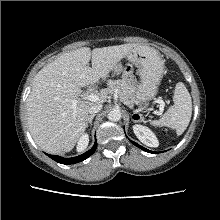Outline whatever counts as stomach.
<instances>
[{"instance_id": "obj_1", "label": "stomach", "mask_w": 220, "mask_h": 220, "mask_svg": "<svg viewBox=\"0 0 220 220\" xmlns=\"http://www.w3.org/2000/svg\"><path fill=\"white\" fill-rule=\"evenodd\" d=\"M128 61L138 68L140 85L134 95V101L140 107L155 97L164 72V62L155 49L148 46H137L126 55ZM124 73L121 64H117L112 75Z\"/></svg>"}]
</instances>
